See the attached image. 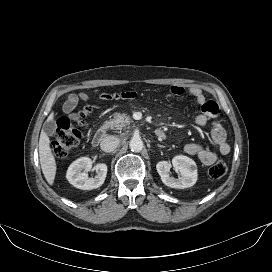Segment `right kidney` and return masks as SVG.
<instances>
[{
  "mask_svg": "<svg viewBox=\"0 0 272 272\" xmlns=\"http://www.w3.org/2000/svg\"><path fill=\"white\" fill-rule=\"evenodd\" d=\"M92 160L88 157H81L74 161L68 168L66 178L74 187L82 190H92L100 187L107 175V165L104 163L97 164V171L94 178H89L87 173L92 168Z\"/></svg>",
  "mask_w": 272,
  "mask_h": 272,
  "instance_id": "right-kidney-1",
  "label": "right kidney"
}]
</instances>
